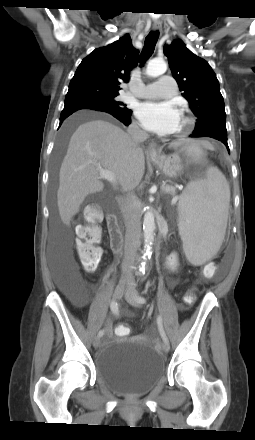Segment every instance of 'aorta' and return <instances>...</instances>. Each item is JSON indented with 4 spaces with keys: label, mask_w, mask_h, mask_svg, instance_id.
Masks as SVG:
<instances>
[{
    "label": "aorta",
    "mask_w": 255,
    "mask_h": 440,
    "mask_svg": "<svg viewBox=\"0 0 255 440\" xmlns=\"http://www.w3.org/2000/svg\"><path fill=\"white\" fill-rule=\"evenodd\" d=\"M167 70V64L164 60L153 59L149 61L146 74L150 77H157L164 74ZM155 220L152 211L148 210L144 215L143 220V232H144V254L143 261L146 263L147 259L151 257L152 245L154 242L155 235Z\"/></svg>",
    "instance_id": "obj_1"
}]
</instances>
